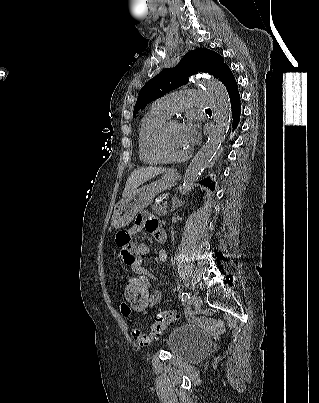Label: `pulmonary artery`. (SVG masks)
Instances as JSON below:
<instances>
[{"label": "pulmonary artery", "mask_w": 319, "mask_h": 403, "mask_svg": "<svg viewBox=\"0 0 319 403\" xmlns=\"http://www.w3.org/2000/svg\"><path fill=\"white\" fill-rule=\"evenodd\" d=\"M154 105L171 115L190 107L208 108L212 105L211 95L202 90H184L158 99Z\"/></svg>", "instance_id": "e3ab8cb5"}]
</instances>
